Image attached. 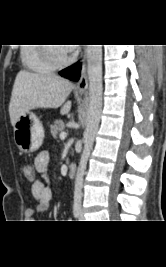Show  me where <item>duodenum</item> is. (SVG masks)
Listing matches in <instances>:
<instances>
[{"label":"duodenum","mask_w":166,"mask_h":267,"mask_svg":"<svg viewBox=\"0 0 166 267\" xmlns=\"http://www.w3.org/2000/svg\"><path fill=\"white\" fill-rule=\"evenodd\" d=\"M76 170H77V166L75 163H71L69 166V170H68V176L69 177H74V175L76 174Z\"/></svg>","instance_id":"1"}]
</instances>
